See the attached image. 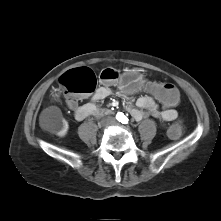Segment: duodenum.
I'll return each instance as SVG.
<instances>
[{
    "label": "duodenum",
    "instance_id": "obj_1",
    "mask_svg": "<svg viewBox=\"0 0 221 221\" xmlns=\"http://www.w3.org/2000/svg\"><path fill=\"white\" fill-rule=\"evenodd\" d=\"M107 113H109L108 110H101V111L97 114V116L102 115V114H107Z\"/></svg>",
    "mask_w": 221,
    "mask_h": 221
}]
</instances>
